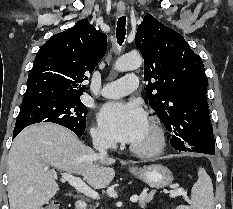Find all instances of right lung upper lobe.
<instances>
[{"instance_id": "right-lung-upper-lobe-1", "label": "right lung upper lobe", "mask_w": 233, "mask_h": 209, "mask_svg": "<svg viewBox=\"0 0 233 209\" xmlns=\"http://www.w3.org/2000/svg\"><path fill=\"white\" fill-rule=\"evenodd\" d=\"M107 49V36L87 19L53 35L39 49L22 103L45 99H80L88 79Z\"/></svg>"}]
</instances>
